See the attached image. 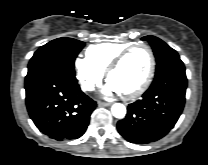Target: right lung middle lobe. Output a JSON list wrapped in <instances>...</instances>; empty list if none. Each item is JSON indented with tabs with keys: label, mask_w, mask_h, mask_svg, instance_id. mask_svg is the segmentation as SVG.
I'll use <instances>...</instances> for the list:
<instances>
[{
	"label": "right lung middle lobe",
	"mask_w": 208,
	"mask_h": 165,
	"mask_svg": "<svg viewBox=\"0 0 208 165\" xmlns=\"http://www.w3.org/2000/svg\"><path fill=\"white\" fill-rule=\"evenodd\" d=\"M84 45L73 38H58L41 46L30 59L26 78L47 68H59L75 75L74 61Z\"/></svg>",
	"instance_id": "obj_1"
}]
</instances>
